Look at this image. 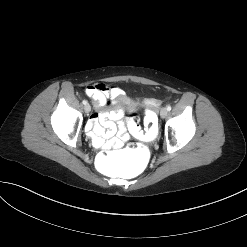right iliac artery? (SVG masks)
Masks as SVG:
<instances>
[{
	"label": "right iliac artery",
	"mask_w": 247,
	"mask_h": 247,
	"mask_svg": "<svg viewBox=\"0 0 247 247\" xmlns=\"http://www.w3.org/2000/svg\"><path fill=\"white\" fill-rule=\"evenodd\" d=\"M82 103H83L84 105H86V104H87V101H86V100H83Z\"/></svg>",
	"instance_id": "obj_1"
}]
</instances>
